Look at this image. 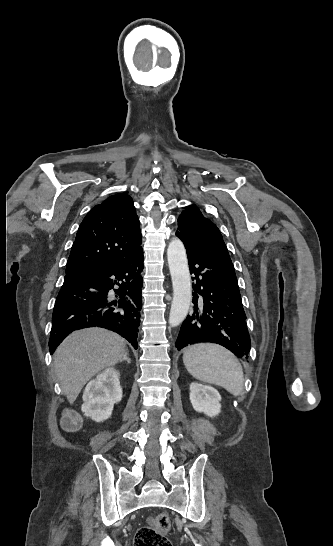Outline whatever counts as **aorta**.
Segmentation results:
<instances>
[{
	"label": "aorta",
	"mask_w": 333,
	"mask_h": 546,
	"mask_svg": "<svg viewBox=\"0 0 333 546\" xmlns=\"http://www.w3.org/2000/svg\"><path fill=\"white\" fill-rule=\"evenodd\" d=\"M167 258L173 285L169 324L175 327L186 318L192 300L187 255L184 245L179 239H174L169 243Z\"/></svg>",
	"instance_id": "aorta-1"
}]
</instances>
